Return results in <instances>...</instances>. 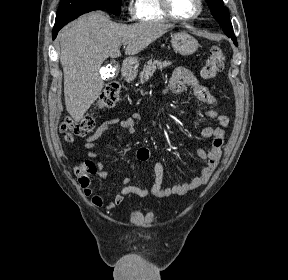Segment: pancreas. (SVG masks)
Instances as JSON below:
<instances>
[{
    "label": "pancreas",
    "instance_id": "cf45deb5",
    "mask_svg": "<svg viewBox=\"0 0 288 280\" xmlns=\"http://www.w3.org/2000/svg\"><path fill=\"white\" fill-rule=\"evenodd\" d=\"M170 64L171 63L167 61H163V62L159 60L148 61L147 64L144 65L143 70L139 74L140 83L143 84L146 81H148L157 69L162 70L164 67H167Z\"/></svg>",
    "mask_w": 288,
    "mask_h": 280
}]
</instances>
